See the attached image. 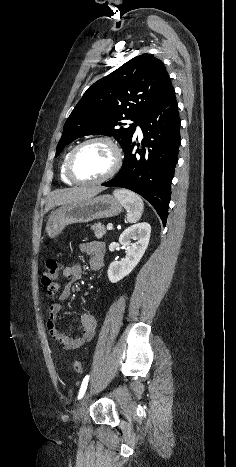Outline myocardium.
Instances as JSON below:
<instances>
[{"instance_id": "f54148a6", "label": "myocardium", "mask_w": 236, "mask_h": 467, "mask_svg": "<svg viewBox=\"0 0 236 467\" xmlns=\"http://www.w3.org/2000/svg\"><path fill=\"white\" fill-rule=\"evenodd\" d=\"M93 143H105L111 148L113 152V164L110 170L104 176L98 179H95V180L84 181V180L79 179L74 172V168H73L74 160H75L76 155L82 148ZM122 164H123V154L118 143L111 137L97 136V137H93V138L83 141L71 151L66 162L65 170H66V176L73 183L79 184V185H95V184L106 182L109 179H111L113 176H115L120 170Z\"/></svg>"}]
</instances>
